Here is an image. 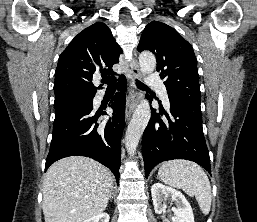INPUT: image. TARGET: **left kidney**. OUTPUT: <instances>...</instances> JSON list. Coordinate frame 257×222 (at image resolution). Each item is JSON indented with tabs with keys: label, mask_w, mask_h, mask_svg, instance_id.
<instances>
[{
	"label": "left kidney",
	"mask_w": 257,
	"mask_h": 222,
	"mask_svg": "<svg viewBox=\"0 0 257 222\" xmlns=\"http://www.w3.org/2000/svg\"><path fill=\"white\" fill-rule=\"evenodd\" d=\"M151 194L155 213L165 214L167 210L166 201H171L176 205V207L171 209L174 212L172 222H194L192 208L180 191L161 183H155L151 187ZM165 221L170 222L169 220Z\"/></svg>",
	"instance_id": "1"
}]
</instances>
